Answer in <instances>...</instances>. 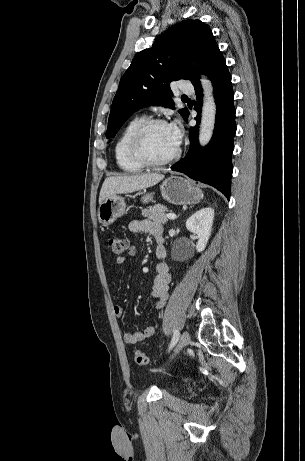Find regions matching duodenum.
I'll use <instances>...</instances> for the list:
<instances>
[{
	"mask_svg": "<svg viewBox=\"0 0 305 461\" xmlns=\"http://www.w3.org/2000/svg\"><path fill=\"white\" fill-rule=\"evenodd\" d=\"M157 242H158V245L163 246V238L162 237H158Z\"/></svg>",
	"mask_w": 305,
	"mask_h": 461,
	"instance_id": "duodenum-1",
	"label": "duodenum"
}]
</instances>
